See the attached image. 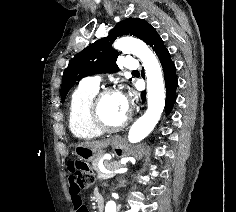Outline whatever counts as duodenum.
I'll use <instances>...</instances> for the list:
<instances>
[{"label": "duodenum", "instance_id": "duodenum-1", "mask_svg": "<svg viewBox=\"0 0 236 212\" xmlns=\"http://www.w3.org/2000/svg\"><path fill=\"white\" fill-rule=\"evenodd\" d=\"M95 202H96L98 211L102 212L104 208L105 200H104V196L101 193H97L95 195Z\"/></svg>", "mask_w": 236, "mask_h": 212}]
</instances>
